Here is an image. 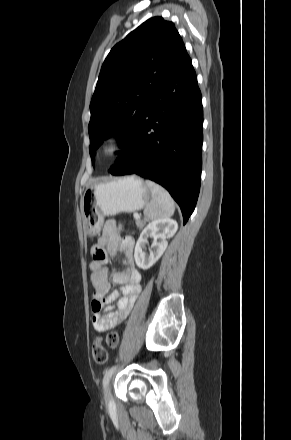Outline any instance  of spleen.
Instances as JSON below:
<instances>
[{"label": "spleen", "mask_w": 291, "mask_h": 440, "mask_svg": "<svg viewBox=\"0 0 291 440\" xmlns=\"http://www.w3.org/2000/svg\"><path fill=\"white\" fill-rule=\"evenodd\" d=\"M146 185L151 191L152 199L144 210L145 217L149 220H156L172 216L175 203L168 191L150 180H146Z\"/></svg>", "instance_id": "3e777b00"}]
</instances>
